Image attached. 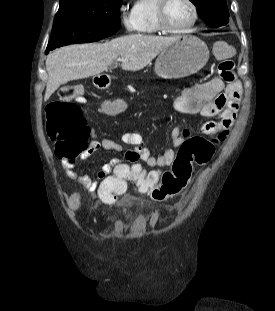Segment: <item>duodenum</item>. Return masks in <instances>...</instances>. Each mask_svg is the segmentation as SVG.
I'll return each instance as SVG.
<instances>
[{
    "instance_id": "410a0bca",
    "label": "duodenum",
    "mask_w": 275,
    "mask_h": 311,
    "mask_svg": "<svg viewBox=\"0 0 275 311\" xmlns=\"http://www.w3.org/2000/svg\"><path fill=\"white\" fill-rule=\"evenodd\" d=\"M109 82V77H102L101 74H94L92 77V84H95L99 90H104Z\"/></svg>"
}]
</instances>
